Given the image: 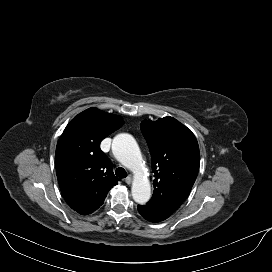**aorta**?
Instances as JSON below:
<instances>
[{"instance_id":"aorta-1","label":"aorta","mask_w":272,"mask_h":272,"mask_svg":"<svg viewBox=\"0 0 272 272\" xmlns=\"http://www.w3.org/2000/svg\"><path fill=\"white\" fill-rule=\"evenodd\" d=\"M112 152L115 158L125 167L135 173L132 184V197L138 204H145L151 197V186L142 174L144 161L135 139L126 133L118 134L112 142Z\"/></svg>"}]
</instances>
